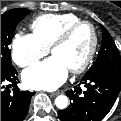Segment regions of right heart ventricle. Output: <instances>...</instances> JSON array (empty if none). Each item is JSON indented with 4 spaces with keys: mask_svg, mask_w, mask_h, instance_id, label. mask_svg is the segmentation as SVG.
<instances>
[{
    "mask_svg": "<svg viewBox=\"0 0 121 121\" xmlns=\"http://www.w3.org/2000/svg\"><path fill=\"white\" fill-rule=\"evenodd\" d=\"M81 19L72 13L45 14L33 20V35L46 47H50L55 39L70 25Z\"/></svg>",
    "mask_w": 121,
    "mask_h": 121,
    "instance_id": "right-heart-ventricle-1",
    "label": "right heart ventricle"
}]
</instances>
